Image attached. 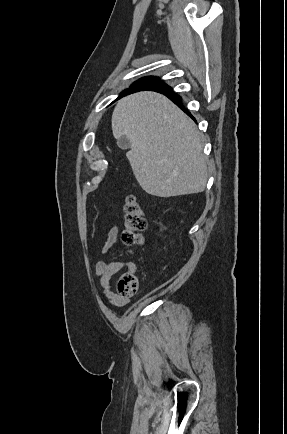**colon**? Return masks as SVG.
Segmentation results:
<instances>
[{
	"instance_id": "5ec220e1",
	"label": "colon",
	"mask_w": 287,
	"mask_h": 434,
	"mask_svg": "<svg viewBox=\"0 0 287 434\" xmlns=\"http://www.w3.org/2000/svg\"><path fill=\"white\" fill-rule=\"evenodd\" d=\"M147 226L144 211L133 195L127 196L124 204V232L122 240L127 246L140 244L143 241L142 233ZM139 288V281L134 273H124L116 285L117 295L122 298L134 297Z\"/></svg>"
}]
</instances>
